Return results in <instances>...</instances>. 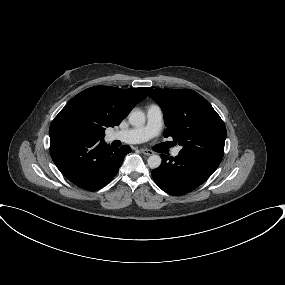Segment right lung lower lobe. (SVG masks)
I'll use <instances>...</instances> for the list:
<instances>
[{
  "label": "right lung lower lobe",
  "mask_w": 285,
  "mask_h": 285,
  "mask_svg": "<svg viewBox=\"0 0 285 285\" xmlns=\"http://www.w3.org/2000/svg\"><path fill=\"white\" fill-rule=\"evenodd\" d=\"M128 145L107 147L104 141L92 142L73 136L50 138V155L60 172L76 186L96 191L107 185L117 174Z\"/></svg>",
  "instance_id": "98d812e1"
}]
</instances>
